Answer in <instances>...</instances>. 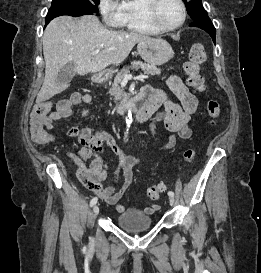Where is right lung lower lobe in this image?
<instances>
[{
  "label": "right lung lower lobe",
  "mask_w": 261,
  "mask_h": 273,
  "mask_svg": "<svg viewBox=\"0 0 261 273\" xmlns=\"http://www.w3.org/2000/svg\"><path fill=\"white\" fill-rule=\"evenodd\" d=\"M75 11L77 13V16H82V15H86L84 12V9L79 5V4H75L74 6ZM51 20L46 19V25L50 22Z\"/></svg>",
  "instance_id": "1"
}]
</instances>
